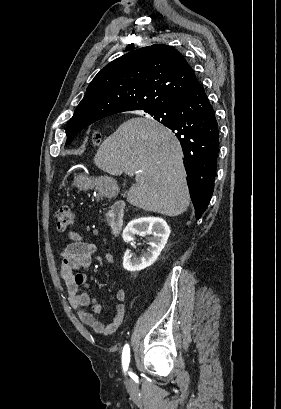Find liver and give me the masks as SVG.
Returning <instances> with one entry per match:
<instances>
[{
  "mask_svg": "<svg viewBox=\"0 0 281 409\" xmlns=\"http://www.w3.org/2000/svg\"><path fill=\"white\" fill-rule=\"evenodd\" d=\"M181 146L169 128L152 118H129L100 144L94 162L120 176H135L127 192L133 207L178 217L187 211L190 196Z\"/></svg>",
  "mask_w": 281,
  "mask_h": 409,
  "instance_id": "obj_1",
  "label": "liver"
}]
</instances>
